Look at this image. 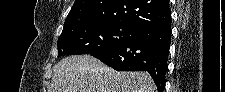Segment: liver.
<instances>
[{"label":"liver","instance_id":"6515ba94","mask_svg":"<svg viewBox=\"0 0 225 92\" xmlns=\"http://www.w3.org/2000/svg\"><path fill=\"white\" fill-rule=\"evenodd\" d=\"M51 92H156V86L147 72H118L90 55H75L54 66Z\"/></svg>","mask_w":225,"mask_h":92}]
</instances>
